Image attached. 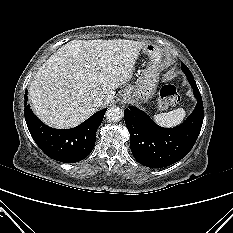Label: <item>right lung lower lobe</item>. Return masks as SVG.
<instances>
[{"label": "right lung lower lobe", "mask_w": 233, "mask_h": 233, "mask_svg": "<svg viewBox=\"0 0 233 233\" xmlns=\"http://www.w3.org/2000/svg\"><path fill=\"white\" fill-rule=\"evenodd\" d=\"M24 99V116L29 132L47 156L60 162L73 163L83 160L91 153L96 141V131L107 108L98 111L77 127L61 130L45 125L34 115L27 104V90Z\"/></svg>", "instance_id": "98d812e1"}]
</instances>
